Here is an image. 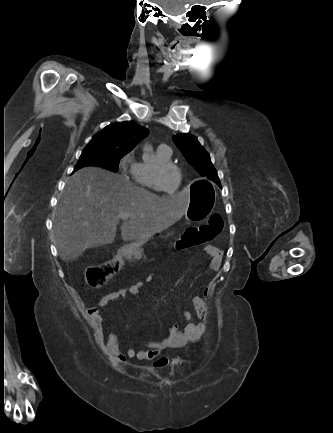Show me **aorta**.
I'll return each mask as SVG.
<instances>
[{"label":"aorta","mask_w":333,"mask_h":433,"mask_svg":"<svg viewBox=\"0 0 333 433\" xmlns=\"http://www.w3.org/2000/svg\"><path fill=\"white\" fill-rule=\"evenodd\" d=\"M143 151H144V160H146V157L148 160L151 156L152 151H153V147L149 144H146L143 148Z\"/></svg>","instance_id":"aorta-1"}]
</instances>
